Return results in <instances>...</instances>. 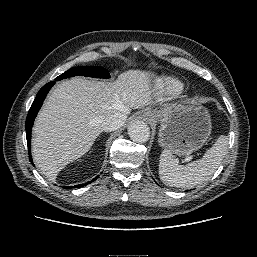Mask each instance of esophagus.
Masks as SVG:
<instances>
[{
  "mask_svg": "<svg viewBox=\"0 0 257 257\" xmlns=\"http://www.w3.org/2000/svg\"><path fill=\"white\" fill-rule=\"evenodd\" d=\"M147 117L151 118V115H147Z\"/></svg>",
  "mask_w": 257,
  "mask_h": 257,
  "instance_id": "34e87169",
  "label": "esophagus"
}]
</instances>
